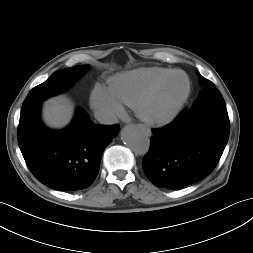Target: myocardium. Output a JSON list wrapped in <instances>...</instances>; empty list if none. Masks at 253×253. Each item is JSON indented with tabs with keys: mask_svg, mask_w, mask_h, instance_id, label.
Here are the masks:
<instances>
[{
	"mask_svg": "<svg viewBox=\"0 0 253 253\" xmlns=\"http://www.w3.org/2000/svg\"><path fill=\"white\" fill-rule=\"evenodd\" d=\"M182 75L186 80V90L174 106L163 115L151 112L150 105L159 91L175 76ZM191 93V82L188 75L181 70H175L155 83L139 100L137 112L141 119L152 125H166L172 122L181 112Z\"/></svg>",
	"mask_w": 253,
	"mask_h": 253,
	"instance_id": "obj_1",
	"label": "myocardium"
}]
</instances>
